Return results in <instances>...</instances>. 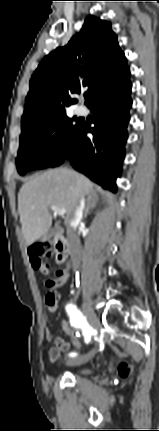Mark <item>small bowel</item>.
<instances>
[{
  "mask_svg": "<svg viewBox=\"0 0 159 431\" xmlns=\"http://www.w3.org/2000/svg\"><path fill=\"white\" fill-rule=\"evenodd\" d=\"M56 275L57 277L55 279L47 281V286L49 288H57L64 285L69 278V268L58 270ZM45 335L48 341L52 340V335L48 329L45 330ZM69 347H70V344L64 339L60 337L54 338V346L51 347L48 352L49 359L53 362L60 360L62 357V354L68 351Z\"/></svg>",
  "mask_w": 159,
  "mask_h": 431,
  "instance_id": "small-bowel-1",
  "label": "small bowel"
}]
</instances>
